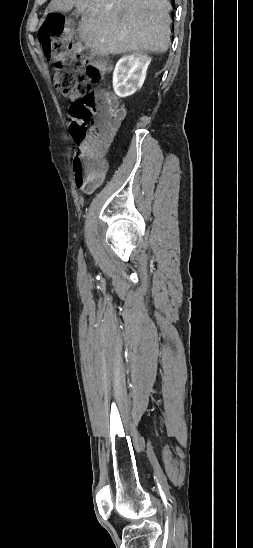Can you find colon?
Returning a JSON list of instances; mask_svg holds the SVG:
<instances>
[{"instance_id":"obj_1","label":"colon","mask_w":253,"mask_h":548,"mask_svg":"<svg viewBox=\"0 0 253 548\" xmlns=\"http://www.w3.org/2000/svg\"><path fill=\"white\" fill-rule=\"evenodd\" d=\"M65 17L50 13L39 30L44 56L53 64V82L63 95L75 97L69 109L70 128L78 152L73 160L77 185L88 184L105 172L102 158L123 111L110 93L91 89L101 80L105 64L63 40Z\"/></svg>"}]
</instances>
